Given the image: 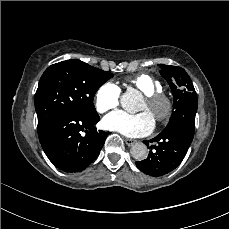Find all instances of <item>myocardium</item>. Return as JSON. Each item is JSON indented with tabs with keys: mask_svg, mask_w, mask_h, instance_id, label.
I'll use <instances>...</instances> for the list:
<instances>
[{
	"mask_svg": "<svg viewBox=\"0 0 229 229\" xmlns=\"http://www.w3.org/2000/svg\"><path fill=\"white\" fill-rule=\"evenodd\" d=\"M148 110L155 120L166 123L173 116L175 104L173 99L163 91H154L145 94Z\"/></svg>",
	"mask_w": 229,
	"mask_h": 229,
	"instance_id": "f54148a6",
	"label": "myocardium"
}]
</instances>
